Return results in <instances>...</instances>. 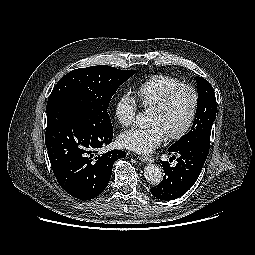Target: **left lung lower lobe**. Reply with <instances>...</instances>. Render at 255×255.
I'll use <instances>...</instances> for the list:
<instances>
[{
	"mask_svg": "<svg viewBox=\"0 0 255 255\" xmlns=\"http://www.w3.org/2000/svg\"><path fill=\"white\" fill-rule=\"evenodd\" d=\"M210 145L197 143L182 148H169V154H179L177 164L171 167L168 161H161L164 170L163 181L151 188V193L161 200H174L184 195L196 182L208 156Z\"/></svg>",
	"mask_w": 255,
	"mask_h": 255,
	"instance_id": "obj_1",
	"label": "left lung lower lobe"
}]
</instances>
